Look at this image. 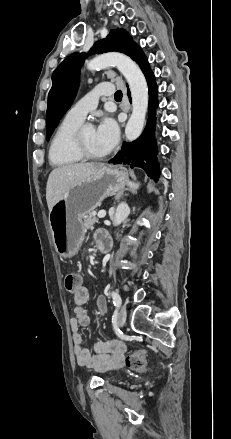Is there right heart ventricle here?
<instances>
[{
	"mask_svg": "<svg viewBox=\"0 0 231 439\" xmlns=\"http://www.w3.org/2000/svg\"><path fill=\"white\" fill-rule=\"evenodd\" d=\"M81 123L66 116L58 125L48 149V159L52 166L66 168L82 161L72 145L73 135Z\"/></svg>",
	"mask_w": 231,
	"mask_h": 439,
	"instance_id": "obj_1",
	"label": "right heart ventricle"
}]
</instances>
